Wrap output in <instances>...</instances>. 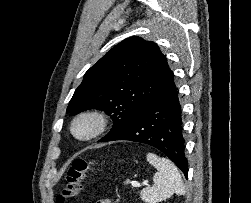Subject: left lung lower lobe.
Wrapping results in <instances>:
<instances>
[{"instance_id":"left-lung-lower-lobe-1","label":"left lung lower lobe","mask_w":251,"mask_h":203,"mask_svg":"<svg viewBox=\"0 0 251 203\" xmlns=\"http://www.w3.org/2000/svg\"><path fill=\"white\" fill-rule=\"evenodd\" d=\"M115 140L141 142L159 149L187 177L188 162L185 157L182 109L171 70L154 96L140 109L129 125L108 141Z\"/></svg>"}]
</instances>
